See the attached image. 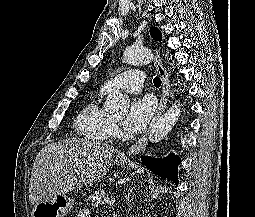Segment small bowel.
Returning a JSON list of instances; mask_svg holds the SVG:
<instances>
[{
	"label": "small bowel",
	"mask_w": 255,
	"mask_h": 217,
	"mask_svg": "<svg viewBox=\"0 0 255 217\" xmlns=\"http://www.w3.org/2000/svg\"><path fill=\"white\" fill-rule=\"evenodd\" d=\"M78 217H91V214L88 209H84L79 213Z\"/></svg>",
	"instance_id": "c3829d8e"
}]
</instances>
